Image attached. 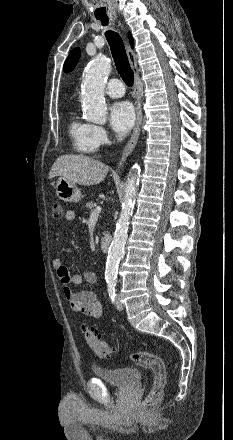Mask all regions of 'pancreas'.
Returning <instances> with one entry per match:
<instances>
[{"mask_svg": "<svg viewBox=\"0 0 233 440\" xmlns=\"http://www.w3.org/2000/svg\"><path fill=\"white\" fill-rule=\"evenodd\" d=\"M96 206H97V203H95V202H93V201L88 202V203L86 204V208H87L88 211H90V212L94 211V209L96 208Z\"/></svg>", "mask_w": 233, "mask_h": 440, "instance_id": "1", "label": "pancreas"}]
</instances>
